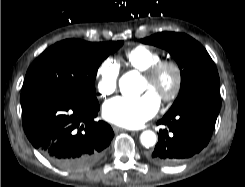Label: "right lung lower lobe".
<instances>
[{"label":"right lung lower lobe","mask_w":245,"mask_h":187,"mask_svg":"<svg viewBox=\"0 0 245 187\" xmlns=\"http://www.w3.org/2000/svg\"><path fill=\"white\" fill-rule=\"evenodd\" d=\"M99 104L61 95L43 94L22 101L23 128L32 145L49 161L80 171L100 161L114 132L95 121Z\"/></svg>","instance_id":"98d812e1"}]
</instances>
